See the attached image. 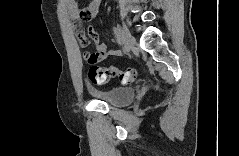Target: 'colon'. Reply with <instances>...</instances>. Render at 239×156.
I'll use <instances>...</instances> for the list:
<instances>
[{"label":"colon","mask_w":239,"mask_h":156,"mask_svg":"<svg viewBox=\"0 0 239 156\" xmlns=\"http://www.w3.org/2000/svg\"><path fill=\"white\" fill-rule=\"evenodd\" d=\"M79 19L81 21L89 20V14L86 11H81L79 14ZM137 77V71L134 68H127L124 70L112 68V67H102V66H92L89 70V79L93 83H105L109 80H118L122 84H128L133 82Z\"/></svg>","instance_id":"colon-1"}]
</instances>
